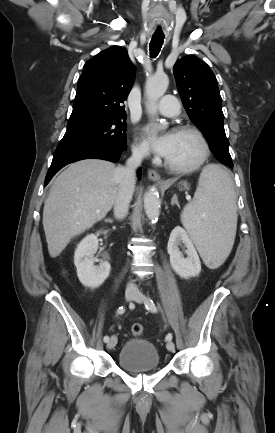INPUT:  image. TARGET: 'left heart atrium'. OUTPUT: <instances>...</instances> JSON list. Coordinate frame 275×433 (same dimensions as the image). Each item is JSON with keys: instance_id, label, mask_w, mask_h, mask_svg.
Wrapping results in <instances>:
<instances>
[{"instance_id": "1", "label": "left heart atrium", "mask_w": 275, "mask_h": 433, "mask_svg": "<svg viewBox=\"0 0 275 433\" xmlns=\"http://www.w3.org/2000/svg\"><path fill=\"white\" fill-rule=\"evenodd\" d=\"M144 134L150 147L159 155L166 157L171 149L173 133L157 134L155 128L148 125L144 128Z\"/></svg>"}]
</instances>
